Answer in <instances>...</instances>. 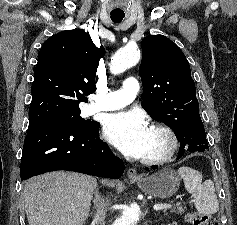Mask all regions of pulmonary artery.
Masks as SVG:
<instances>
[{"label": "pulmonary artery", "instance_id": "e3ab8cb5", "mask_svg": "<svg viewBox=\"0 0 237 225\" xmlns=\"http://www.w3.org/2000/svg\"><path fill=\"white\" fill-rule=\"evenodd\" d=\"M139 91V83L134 77L124 81L123 87L114 92H107L90 102L89 112L111 111L130 104Z\"/></svg>", "mask_w": 237, "mask_h": 225}]
</instances>
